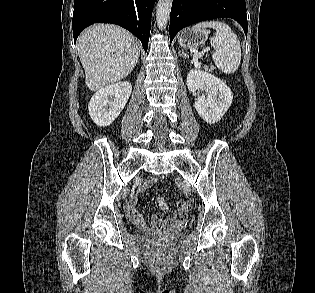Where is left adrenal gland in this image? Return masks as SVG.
<instances>
[{"instance_id": "a2214340", "label": "left adrenal gland", "mask_w": 315, "mask_h": 293, "mask_svg": "<svg viewBox=\"0 0 315 293\" xmlns=\"http://www.w3.org/2000/svg\"><path fill=\"white\" fill-rule=\"evenodd\" d=\"M178 55H179V56H182V57H184V58H185V57H188L183 51H182V52L180 51V52L178 53Z\"/></svg>"}]
</instances>
